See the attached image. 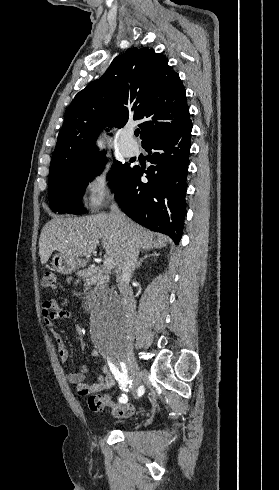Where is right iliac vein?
Masks as SVG:
<instances>
[{
    "instance_id": "1",
    "label": "right iliac vein",
    "mask_w": 279,
    "mask_h": 490,
    "mask_svg": "<svg viewBox=\"0 0 279 490\" xmlns=\"http://www.w3.org/2000/svg\"><path fill=\"white\" fill-rule=\"evenodd\" d=\"M120 359L127 364L130 377L134 380L139 375L140 368L132 356V352L130 351L129 354L120 355Z\"/></svg>"
}]
</instances>
